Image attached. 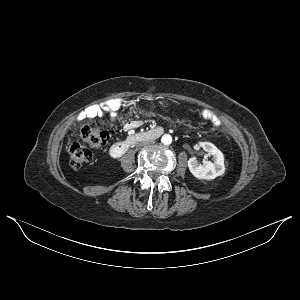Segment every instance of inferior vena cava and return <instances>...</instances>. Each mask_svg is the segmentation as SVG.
Here are the masks:
<instances>
[{
	"instance_id": "602c4592",
	"label": "inferior vena cava",
	"mask_w": 300,
	"mask_h": 300,
	"mask_svg": "<svg viewBox=\"0 0 300 300\" xmlns=\"http://www.w3.org/2000/svg\"><path fill=\"white\" fill-rule=\"evenodd\" d=\"M156 143V140L154 138H145L141 141V144L143 146H151V145H154Z\"/></svg>"
}]
</instances>
